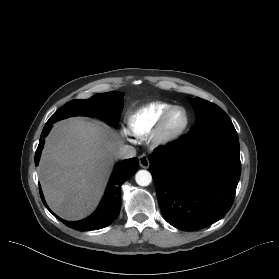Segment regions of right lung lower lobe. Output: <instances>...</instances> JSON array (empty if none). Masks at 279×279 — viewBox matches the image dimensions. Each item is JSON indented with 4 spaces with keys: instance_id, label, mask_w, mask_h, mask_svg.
Masks as SVG:
<instances>
[{
    "instance_id": "obj_1",
    "label": "right lung lower lobe",
    "mask_w": 279,
    "mask_h": 279,
    "mask_svg": "<svg viewBox=\"0 0 279 279\" xmlns=\"http://www.w3.org/2000/svg\"><path fill=\"white\" fill-rule=\"evenodd\" d=\"M51 127L52 124H46V126L43 128V131L41 133L39 145L35 154L36 166L39 163L41 150L44 145V138L50 131ZM138 165H139L138 159L131 158V159L124 160L115 166L114 172L111 176V179L107 186L102 202L98 207L97 211L94 214H92L90 217L78 222H69V221L62 220L57 216L56 217L65 225L79 231L96 230L110 225L119 215L120 206H121V185L135 174V172L138 169ZM39 191H40L42 202L44 203L46 208L53 215H55L47 206L41 188H39Z\"/></svg>"
}]
</instances>
